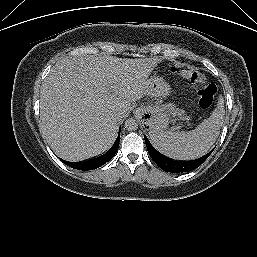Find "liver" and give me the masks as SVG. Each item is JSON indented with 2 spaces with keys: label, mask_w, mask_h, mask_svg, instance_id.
<instances>
[{
  "label": "liver",
  "mask_w": 257,
  "mask_h": 257,
  "mask_svg": "<svg viewBox=\"0 0 257 257\" xmlns=\"http://www.w3.org/2000/svg\"><path fill=\"white\" fill-rule=\"evenodd\" d=\"M159 62L109 55L57 62L40 92L41 128L54 153L79 162L106 152L131 102L146 95L148 77Z\"/></svg>",
  "instance_id": "obj_1"
}]
</instances>
